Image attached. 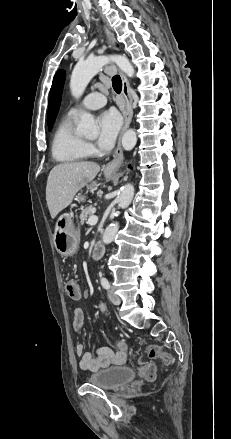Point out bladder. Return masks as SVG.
<instances>
[{"mask_svg":"<svg viewBox=\"0 0 231 439\" xmlns=\"http://www.w3.org/2000/svg\"><path fill=\"white\" fill-rule=\"evenodd\" d=\"M135 376V371L132 368L116 366L91 374L87 381L102 389L115 390L131 382Z\"/></svg>","mask_w":231,"mask_h":439,"instance_id":"1","label":"bladder"}]
</instances>
